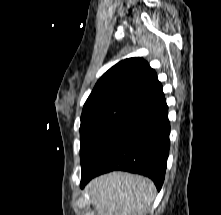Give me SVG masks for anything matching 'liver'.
Wrapping results in <instances>:
<instances>
[{
  "mask_svg": "<svg viewBox=\"0 0 221 215\" xmlns=\"http://www.w3.org/2000/svg\"><path fill=\"white\" fill-rule=\"evenodd\" d=\"M86 192L97 215H146L156 187L148 178L118 171L93 179Z\"/></svg>",
  "mask_w": 221,
  "mask_h": 215,
  "instance_id": "6515ba94",
  "label": "liver"
}]
</instances>
